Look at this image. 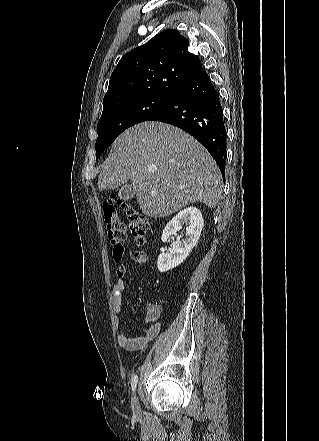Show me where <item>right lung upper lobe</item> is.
I'll use <instances>...</instances> for the list:
<instances>
[{
    "label": "right lung upper lobe",
    "mask_w": 319,
    "mask_h": 441,
    "mask_svg": "<svg viewBox=\"0 0 319 441\" xmlns=\"http://www.w3.org/2000/svg\"><path fill=\"white\" fill-rule=\"evenodd\" d=\"M188 47L185 37L169 29L125 54L110 77L103 110L142 97L172 98L185 82L203 71Z\"/></svg>",
    "instance_id": "right-lung-upper-lobe-1"
}]
</instances>
